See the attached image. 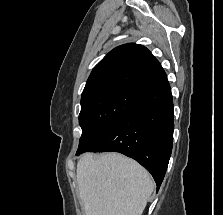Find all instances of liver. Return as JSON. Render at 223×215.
I'll list each match as a JSON object with an SVG mask.
<instances>
[{
    "label": "liver",
    "instance_id": "1",
    "mask_svg": "<svg viewBox=\"0 0 223 215\" xmlns=\"http://www.w3.org/2000/svg\"><path fill=\"white\" fill-rule=\"evenodd\" d=\"M76 171L86 215H141L154 189L149 171L116 151L84 153Z\"/></svg>",
    "mask_w": 223,
    "mask_h": 215
}]
</instances>
